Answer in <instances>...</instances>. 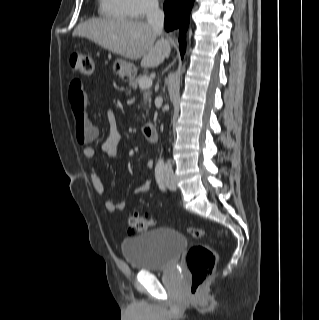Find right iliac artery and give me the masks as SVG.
Instances as JSON below:
<instances>
[{
    "label": "right iliac artery",
    "mask_w": 319,
    "mask_h": 320,
    "mask_svg": "<svg viewBox=\"0 0 319 320\" xmlns=\"http://www.w3.org/2000/svg\"><path fill=\"white\" fill-rule=\"evenodd\" d=\"M155 177L156 181L160 187L161 190H165V185H164V169L163 167H156L155 168Z\"/></svg>",
    "instance_id": "right-iliac-artery-1"
}]
</instances>
